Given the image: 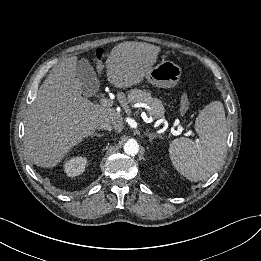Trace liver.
<instances>
[{"label":"liver","mask_w":261,"mask_h":261,"mask_svg":"<svg viewBox=\"0 0 261 261\" xmlns=\"http://www.w3.org/2000/svg\"><path fill=\"white\" fill-rule=\"evenodd\" d=\"M160 52V47L143 42L116 45L106 60L108 82L116 88L140 83ZM76 69V56L64 59L52 69L31 104L25 122V148L37 166H56L103 122L112 124L117 132L123 129L120 113L82 97Z\"/></svg>","instance_id":"1"}]
</instances>
